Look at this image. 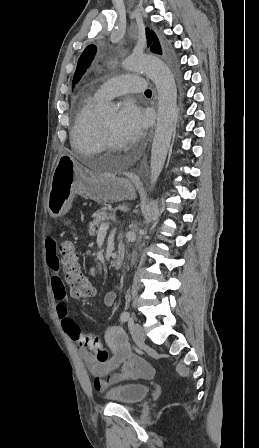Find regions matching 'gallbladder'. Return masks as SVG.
<instances>
[{"instance_id": "1", "label": "gallbladder", "mask_w": 259, "mask_h": 448, "mask_svg": "<svg viewBox=\"0 0 259 448\" xmlns=\"http://www.w3.org/2000/svg\"><path fill=\"white\" fill-rule=\"evenodd\" d=\"M101 170H105V166H104V164H102V166H101Z\"/></svg>"}]
</instances>
